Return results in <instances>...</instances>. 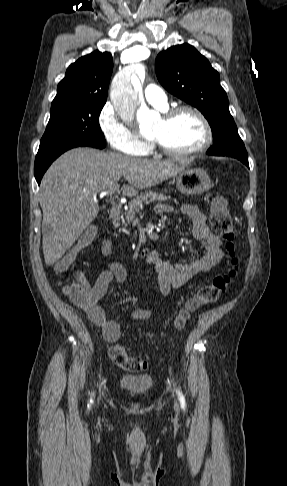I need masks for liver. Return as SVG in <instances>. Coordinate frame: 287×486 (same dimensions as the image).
<instances>
[{
	"label": "liver",
	"instance_id": "6515ba94",
	"mask_svg": "<svg viewBox=\"0 0 287 486\" xmlns=\"http://www.w3.org/2000/svg\"><path fill=\"white\" fill-rule=\"evenodd\" d=\"M189 162L186 158H132L92 148H75L62 154L48 168L40 186L46 265L56 263L96 218L98 193L109 190L124 177L129 184L123 186V195L135 196L140 189L176 176Z\"/></svg>",
	"mask_w": 287,
	"mask_h": 486
}]
</instances>
